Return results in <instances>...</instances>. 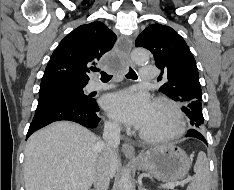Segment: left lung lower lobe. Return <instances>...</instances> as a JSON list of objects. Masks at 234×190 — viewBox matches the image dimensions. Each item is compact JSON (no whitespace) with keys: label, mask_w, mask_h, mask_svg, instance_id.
Listing matches in <instances>:
<instances>
[{"label":"left lung lower lobe","mask_w":234,"mask_h":190,"mask_svg":"<svg viewBox=\"0 0 234 190\" xmlns=\"http://www.w3.org/2000/svg\"><path fill=\"white\" fill-rule=\"evenodd\" d=\"M186 137L197 138V139L203 141L205 144H207L206 139L202 135L201 131L198 130V129L192 128V129L188 130V133H187Z\"/></svg>","instance_id":"left-lung-lower-lobe-1"}]
</instances>
